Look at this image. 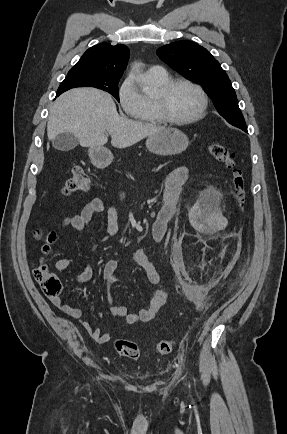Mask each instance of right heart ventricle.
<instances>
[{
  "instance_id": "1",
  "label": "right heart ventricle",
  "mask_w": 287,
  "mask_h": 434,
  "mask_svg": "<svg viewBox=\"0 0 287 434\" xmlns=\"http://www.w3.org/2000/svg\"><path fill=\"white\" fill-rule=\"evenodd\" d=\"M150 80L157 86H160L164 83H166L170 78L167 73H165L163 76L156 77L148 74ZM143 106L140 109V111L134 115V118L140 122L144 123H151V124H158L161 123L162 120L159 117L155 103L154 98L150 95L143 94Z\"/></svg>"
}]
</instances>
